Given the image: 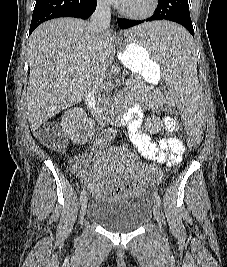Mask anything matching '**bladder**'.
Wrapping results in <instances>:
<instances>
[{
  "instance_id": "bladder-1",
  "label": "bladder",
  "mask_w": 227,
  "mask_h": 267,
  "mask_svg": "<svg viewBox=\"0 0 227 267\" xmlns=\"http://www.w3.org/2000/svg\"><path fill=\"white\" fill-rule=\"evenodd\" d=\"M148 197L134 195L120 200H94L86 211L90 221L116 233L137 230L151 216Z\"/></svg>"
}]
</instances>
